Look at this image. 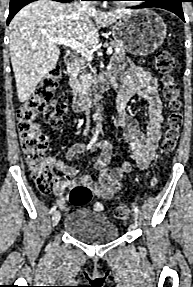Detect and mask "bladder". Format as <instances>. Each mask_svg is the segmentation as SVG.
<instances>
[{"mask_svg":"<svg viewBox=\"0 0 193 287\" xmlns=\"http://www.w3.org/2000/svg\"><path fill=\"white\" fill-rule=\"evenodd\" d=\"M64 230L72 237L90 244L112 241L119 236V228L106 216L82 208L68 214Z\"/></svg>","mask_w":193,"mask_h":287,"instance_id":"bladder-1","label":"bladder"}]
</instances>
